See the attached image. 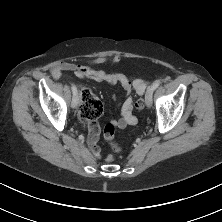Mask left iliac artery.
I'll return each mask as SVG.
<instances>
[{"label": "left iliac artery", "mask_w": 222, "mask_h": 222, "mask_svg": "<svg viewBox=\"0 0 222 222\" xmlns=\"http://www.w3.org/2000/svg\"><path fill=\"white\" fill-rule=\"evenodd\" d=\"M160 83H161L160 80H157V81H155V82L153 83V85H152L153 91H154L156 88H158V86L160 85Z\"/></svg>", "instance_id": "left-iliac-artery-1"}]
</instances>
